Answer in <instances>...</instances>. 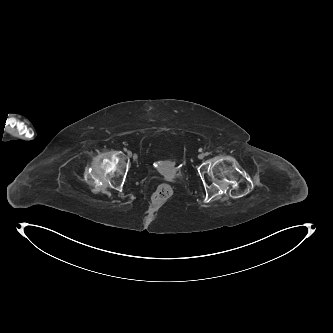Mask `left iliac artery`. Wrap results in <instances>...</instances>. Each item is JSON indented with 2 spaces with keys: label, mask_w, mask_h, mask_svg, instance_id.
<instances>
[{
  "label": "left iliac artery",
  "mask_w": 333,
  "mask_h": 333,
  "mask_svg": "<svg viewBox=\"0 0 333 333\" xmlns=\"http://www.w3.org/2000/svg\"><path fill=\"white\" fill-rule=\"evenodd\" d=\"M210 153L209 152H206L205 155H209Z\"/></svg>",
  "instance_id": "left-iliac-artery-1"
}]
</instances>
